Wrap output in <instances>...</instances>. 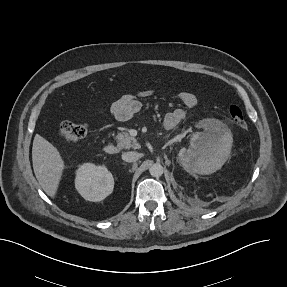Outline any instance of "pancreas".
Listing matches in <instances>:
<instances>
[{"label": "pancreas", "mask_w": 287, "mask_h": 287, "mask_svg": "<svg viewBox=\"0 0 287 287\" xmlns=\"http://www.w3.org/2000/svg\"><path fill=\"white\" fill-rule=\"evenodd\" d=\"M117 146L119 149H138L140 148L139 143L137 142V140L130 136V134L128 132H120L117 134Z\"/></svg>", "instance_id": "1"}]
</instances>
